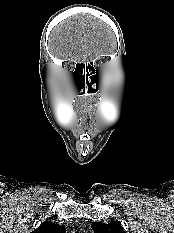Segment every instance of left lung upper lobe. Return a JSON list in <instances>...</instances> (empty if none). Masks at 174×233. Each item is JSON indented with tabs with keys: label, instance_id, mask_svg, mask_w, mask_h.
<instances>
[{
	"label": "left lung upper lobe",
	"instance_id": "5c2ea615",
	"mask_svg": "<svg viewBox=\"0 0 174 233\" xmlns=\"http://www.w3.org/2000/svg\"><path fill=\"white\" fill-rule=\"evenodd\" d=\"M91 227L94 233H126L118 221H113L108 224L93 222Z\"/></svg>",
	"mask_w": 174,
	"mask_h": 233
}]
</instances>
